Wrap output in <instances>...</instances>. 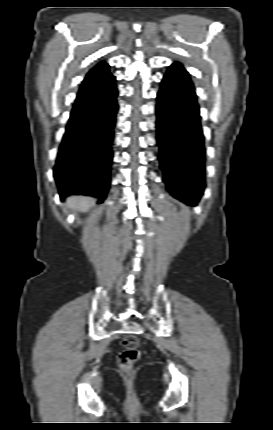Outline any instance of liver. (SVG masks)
<instances>
[{"mask_svg": "<svg viewBox=\"0 0 273 430\" xmlns=\"http://www.w3.org/2000/svg\"><path fill=\"white\" fill-rule=\"evenodd\" d=\"M66 203L70 208L86 211L93 204V200L88 197H69Z\"/></svg>", "mask_w": 273, "mask_h": 430, "instance_id": "liver-1", "label": "liver"}]
</instances>
